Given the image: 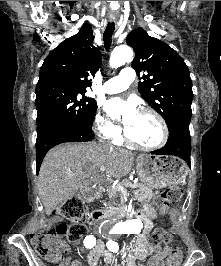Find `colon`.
Wrapping results in <instances>:
<instances>
[{"mask_svg":"<svg viewBox=\"0 0 221 266\" xmlns=\"http://www.w3.org/2000/svg\"><path fill=\"white\" fill-rule=\"evenodd\" d=\"M183 195V189L179 186H172L163 191L156 199L155 205L162 215L168 212L172 204L177 203ZM55 214L64 217L69 224H59L55 229L45 233L31 234V243L35 251L49 261L57 262L60 258L62 248V236L70 242L80 240L87 229L83 224L85 207L78 198L66 200ZM154 244L169 243L171 236L163 229H156L152 233ZM182 260V253L178 248L169 251V265L178 266Z\"/></svg>","mask_w":221,"mask_h":266,"instance_id":"1","label":"colon"}]
</instances>
